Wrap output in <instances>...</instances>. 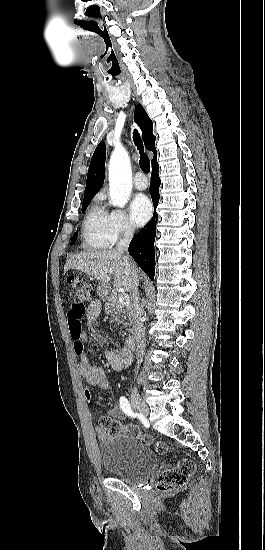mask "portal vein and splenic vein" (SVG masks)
<instances>
[{"label":"portal vein and splenic vein","instance_id":"1","mask_svg":"<svg viewBox=\"0 0 265 550\" xmlns=\"http://www.w3.org/2000/svg\"><path fill=\"white\" fill-rule=\"evenodd\" d=\"M118 302H119L120 304H123V305L129 304V303H130V297H129V295H127V294L120 295V296H119V299H118Z\"/></svg>","mask_w":265,"mask_h":550}]
</instances>
